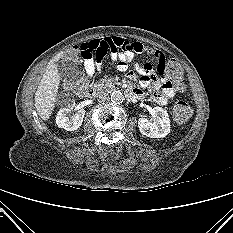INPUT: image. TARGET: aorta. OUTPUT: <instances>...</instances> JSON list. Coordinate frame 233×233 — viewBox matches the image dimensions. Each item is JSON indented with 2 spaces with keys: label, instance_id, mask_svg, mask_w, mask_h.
I'll use <instances>...</instances> for the list:
<instances>
[{
  "label": "aorta",
  "instance_id": "762f6f07",
  "mask_svg": "<svg viewBox=\"0 0 233 233\" xmlns=\"http://www.w3.org/2000/svg\"><path fill=\"white\" fill-rule=\"evenodd\" d=\"M124 100V96L120 91H113L111 93V101L115 104H120Z\"/></svg>",
  "mask_w": 233,
  "mask_h": 233
}]
</instances>
